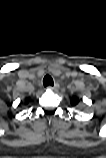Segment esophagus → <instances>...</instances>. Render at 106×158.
<instances>
[{
	"label": "esophagus",
	"instance_id": "1",
	"mask_svg": "<svg viewBox=\"0 0 106 158\" xmlns=\"http://www.w3.org/2000/svg\"><path fill=\"white\" fill-rule=\"evenodd\" d=\"M58 88H59V84L58 83H54L53 86H48V89L54 90V91H56Z\"/></svg>",
	"mask_w": 106,
	"mask_h": 158
}]
</instances>
